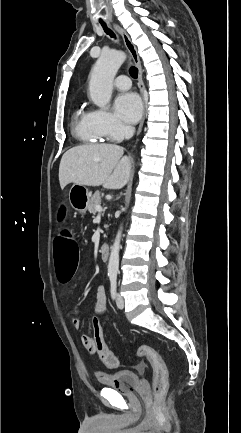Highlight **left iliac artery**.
<instances>
[{
  "label": "left iliac artery",
  "mask_w": 241,
  "mask_h": 433,
  "mask_svg": "<svg viewBox=\"0 0 241 433\" xmlns=\"http://www.w3.org/2000/svg\"><path fill=\"white\" fill-rule=\"evenodd\" d=\"M110 288H111V297L114 299L116 295V289H117V281L116 276H110Z\"/></svg>",
  "instance_id": "left-iliac-artery-1"
}]
</instances>
